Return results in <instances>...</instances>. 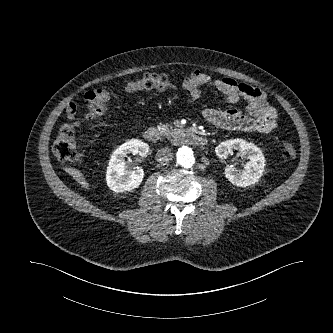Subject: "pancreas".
<instances>
[{
    "mask_svg": "<svg viewBox=\"0 0 333 333\" xmlns=\"http://www.w3.org/2000/svg\"><path fill=\"white\" fill-rule=\"evenodd\" d=\"M173 127L170 126L169 124H165V123H160L158 125V129L160 131V133L164 136H167L168 138H170L171 136H173L175 134V132L177 131V129H172Z\"/></svg>",
    "mask_w": 333,
    "mask_h": 333,
    "instance_id": "obj_1",
    "label": "pancreas"
}]
</instances>
